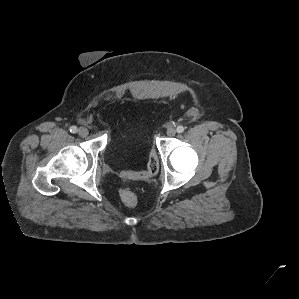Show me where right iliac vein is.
Listing matches in <instances>:
<instances>
[{
    "label": "right iliac vein",
    "instance_id": "right-iliac-vein-1",
    "mask_svg": "<svg viewBox=\"0 0 299 299\" xmlns=\"http://www.w3.org/2000/svg\"><path fill=\"white\" fill-rule=\"evenodd\" d=\"M78 134H79V136H81V137H86V136L89 134V131H88L86 128L81 127V128H79V130H78Z\"/></svg>",
    "mask_w": 299,
    "mask_h": 299
}]
</instances>
